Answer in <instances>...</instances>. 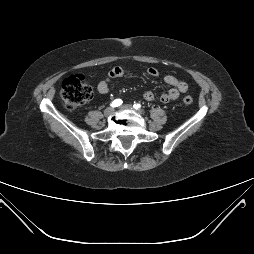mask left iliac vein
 Listing matches in <instances>:
<instances>
[{"instance_id":"obj_1","label":"left iliac vein","mask_w":254,"mask_h":254,"mask_svg":"<svg viewBox=\"0 0 254 254\" xmlns=\"http://www.w3.org/2000/svg\"><path fill=\"white\" fill-rule=\"evenodd\" d=\"M121 108L124 109V110L135 111L136 113L141 114V111H136V110H134V108L132 107V105H129V104L124 105V106H122Z\"/></svg>"}]
</instances>
